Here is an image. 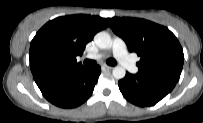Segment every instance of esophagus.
<instances>
[{
	"instance_id": "esophagus-1",
	"label": "esophagus",
	"mask_w": 203,
	"mask_h": 123,
	"mask_svg": "<svg viewBox=\"0 0 203 123\" xmlns=\"http://www.w3.org/2000/svg\"><path fill=\"white\" fill-rule=\"evenodd\" d=\"M102 68H103V69H107V70H111L113 67L104 64V65H102Z\"/></svg>"
}]
</instances>
